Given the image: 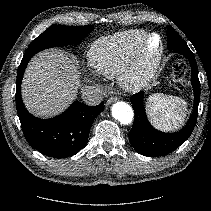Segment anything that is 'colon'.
Returning <instances> with one entry per match:
<instances>
[{
  "label": "colon",
  "instance_id": "obj_1",
  "mask_svg": "<svg viewBox=\"0 0 211 211\" xmlns=\"http://www.w3.org/2000/svg\"><path fill=\"white\" fill-rule=\"evenodd\" d=\"M185 73L184 63L181 61L175 62L171 70V77L175 85L182 90L186 88Z\"/></svg>",
  "mask_w": 211,
  "mask_h": 211
}]
</instances>
